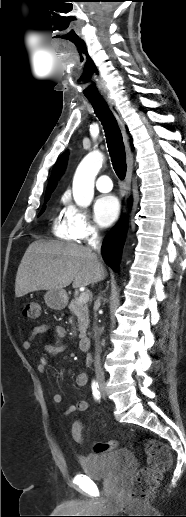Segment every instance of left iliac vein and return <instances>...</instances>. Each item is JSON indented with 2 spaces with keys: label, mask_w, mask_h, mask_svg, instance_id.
Wrapping results in <instances>:
<instances>
[{
  "label": "left iliac vein",
  "mask_w": 186,
  "mask_h": 517,
  "mask_svg": "<svg viewBox=\"0 0 186 517\" xmlns=\"http://www.w3.org/2000/svg\"><path fill=\"white\" fill-rule=\"evenodd\" d=\"M102 397L105 398V392L103 389H102Z\"/></svg>",
  "instance_id": "4c4485c4"
}]
</instances>
